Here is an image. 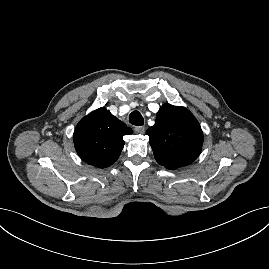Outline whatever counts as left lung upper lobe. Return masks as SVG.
Wrapping results in <instances>:
<instances>
[{"instance_id": "1", "label": "left lung upper lobe", "mask_w": 269, "mask_h": 269, "mask_svg": "<svg viewBox=\"0 0 269 269\" xmlns=\"http://www.w3.org/2000/svg\"><path fill=\"white\" fill-rule=\"evenodd\" d=\"M146 134L156 161L168 169L191 164L201 152V127L193 114L181 106L163 104Z\"/></svg>"}]
</instances>
